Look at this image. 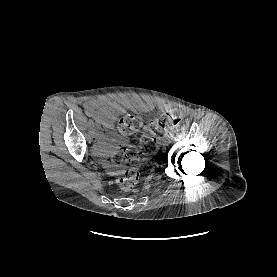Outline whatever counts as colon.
I'll return each instance as SVG.
<instances>
[{
  "mask_svg": "<svg viewBox=\"0 0 277 277\" xmlns=\"http://www.w3.org/2000/svg\"><path fill=\"white\" fill-rule=\"evenodd\" d=\"M181 120V114L177 110L163 114L155 122L152 123L149 133L143 135L140 146H122L110 148V161L122 166L129 164L127 167L115 175L116 183L123 190H132L139 181V172L134 165L139 164L144 158L154 155L160 144V138L166 130H170L178 126ZM144 120L134 114H126L122 116L118 123L119 131L124 135H130L140 131L143 127Z\"/></svg>",
  "mask_w": 277,
  "mask_h": 277,
  "instance_id": "obj_1",
  "label": "colon"
}]
</instances>
